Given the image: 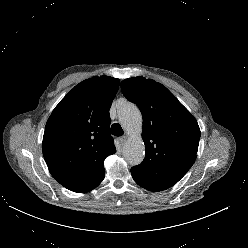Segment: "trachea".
Returning a JSON list of instances; mask_svg holds the SVG:
<instances>
[{"label": "trachea", "mask_w": 248, "mask_h": 248, "mask_svg": "<svg viewBox=\"0 0 248 248\" xmlns=\"http://www.w3.org/2000/svg\"><path fill=\"white\" fill-rule=\"evenodd\" d=\"M111 134L114 136H122L124 134L122 127L118 123H114L111 126Z\"/></svg>", "instance_id": "3493384b"}]
</instances>
